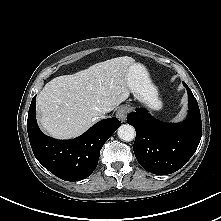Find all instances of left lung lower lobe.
Listing matches in <instances>:
<instances>
[{"label":"left lung lower lobe","mask_w":221,"mask_h":221,"mask_svg":"<svg viewBox=\"0 0 221 221\" xmlns=\"http://www.w3.org/2000/svg\"><path fill=\"white\" fill-rule=\"evenodd\" d=\"M189 97V116L182 123H163L146 110L137 109L127 116L136 130L133 150L139 164L157 175H167L183 167L195 153L202 134L198 103L183 82Z\"/></svg>","instance_id":"1"}]
</instances>
